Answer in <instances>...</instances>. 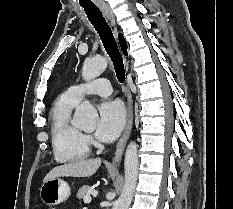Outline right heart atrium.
<instances>
[{
	"instance_id": "1",
	"label": "right heart atrium",
	"mask_w": 233,
	"mask_h": 209,
	"mask_svg": "<svg viewBox=\"0 0 233 209\" xmlns=\"http://www.w3.org/2000/svg\"><path fill=\"white\" fill-rule=\"evenodd\" d=\"M84 138H85V140L87 141V143H90V142H91V137H90V136L85 135Z\"/></svg>"
}]
</instances>
